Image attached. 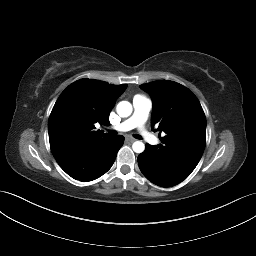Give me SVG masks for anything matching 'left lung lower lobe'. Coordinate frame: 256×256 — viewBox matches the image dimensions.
<instances>
[{
    "label": "left lung lower lobe",
    "mask_w": 256,
    "mask_h": 256,
    "mask_svg": "<svg viewBox=\"0 0 256 256\" xmlns=\"http://www.w3.org/2000/svg\"><path fill=\"white\" fill-rule=\"evenodd\" d=\"M138 164L144 176L161 187L177 185L193 171L160 156L154 146L149 144H146L145 151L138 156Z\"/></svg>",
    "instance_id": "obj_1"
}]
</instances>
